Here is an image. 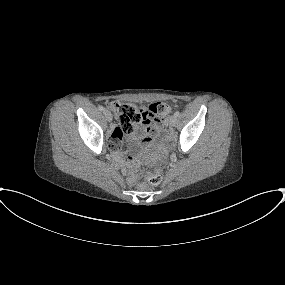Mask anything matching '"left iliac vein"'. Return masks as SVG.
<instances>
[{"label":"left iliac vein","mask_w":285,"mask_h":285,"mask_svg":"<svg viewBox=\"0 0 285 285\" xmlns=\"http://www.w3.org/2000/svg\"><path fill=\"white\" fill-rule=\"evenodd\" d=\"M177 123V117L176 116H171L170 120H169V124L170 126L174 127Z\"/></svg>","instance_id":"obj_1"}]
</instances>
